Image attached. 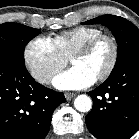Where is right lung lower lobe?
Returning <instances> with one entry per match:
<instances>
[{
  "mask_svg": "<svg viewBox=\"0 0 139 139\" xmlns=\"http://www.w3.org/2000/svg\"><path fill=\"white\" fill-rule=\"evenodd\" d=\"M63 93L37 83L25 62L0 56V139H43Z\"/></svg>",
  "mask_w": 139,
  "mask_h": 139,
  "instance_id": "obj_1",
  "label": "right lung lower lobe"
}]
</instances>
